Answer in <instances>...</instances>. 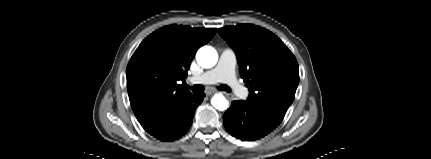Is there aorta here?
Wrapping results in <instances>:
<instances>
[{"label": "aorta", "instance_id": "762f6f07", "mask_svg": "<svg viewBox=\"0 0 431 159\" xmlns=\"http://www.w3.org/2000/svg\"><path fill=\"white\" fill-rule=\"evenodd\" d=\"M196 60L201 67L211 68L218 61L217 51L211 46H203L197 51ZM211 104L217 110L224 111L228 108L229 102L222 94H215Z\"/></svg>", "mask_w": 431, "mask_h": 159}]
</instances>
